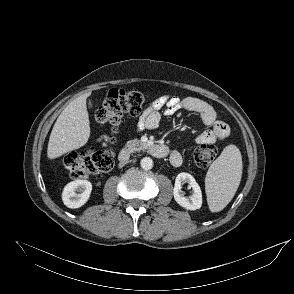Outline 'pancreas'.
<instances>
[{"instance_id":"1","label":"pancreas","mask_w":294,"mask_h":294,"mask_svg":"<svg viewBox=\"0 0 294 294\" xmlns=\"http://www.w3.org/2000/svg\"><path fill=\"white\" fill-rule=\"evenodd\" d=\"M147 146V143H144L138 139L129 140L125 145V147L130 152L144 150L147 148Z\"/></svg>"}]
</instances>
